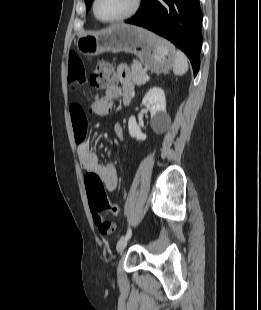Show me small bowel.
I'll return each instance as SVG.
<instances>
[{"mask_svg": "<svg viewBox=\"0 0 261 310\" xmlns=\"http://www.w3.org/2000/svg\"><path fill=\"white\" fill-rule=\"evenodd\" d=\"M117 75L120 84H114L106 89L103 97L98 98L93 111L99 115L107 114L113 104V100L123 97L125 101H130L133 87L130 81V70L125 64L117 68ZM86 81V72L82 59L74 52L69 54L68 61V87L71 91H78ZM70 114L77 142V154L81 167L87 173L97 174L108 191H115L118 187V175L115 167L110 164H100L98 157L93 150L91 143L86 139L87 117L84 109L79 103L74 102L70 107ZM115 134L122 138V128L119 124L115 125Z\"/></svg>", "mask_w": 261, "mask_h": 310, "instance_id": "obj_1", "label": "small bowel"}]
</instances>
